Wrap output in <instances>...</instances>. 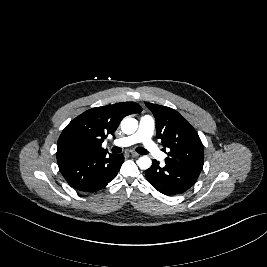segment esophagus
I'll return each mask as SVG.
<instances>
[{"label":"esophagus","instance_id":"1","mask_svg":"<svg viewBox=\"0 0 267 267\" xmlns=\"http://www.w3.org/2000/svg\"><path fill=\"white\" fill-rule=\"evenodd\" d=\"M131 156H132V157H139L140 154H138V153H136V152H131Z\"/></svg>","mask_w":267,"mask_h":267}]
</instances>
